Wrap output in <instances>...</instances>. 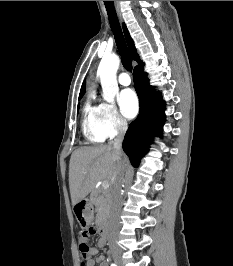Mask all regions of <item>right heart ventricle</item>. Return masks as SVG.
<instances>
[{"label":"right heart ventricle","instance_id":"1","mask_svg":"<svg viewBox=\"0 0 233 266\" xmlns=\"http://www.w3.org/2000/svg\"><path fill=\"white\" fill-rule=\"evenodd\" d=\"M101 105L94 103V93H91L83 107L82 130L90 143H101L105 137L99 129Z\"/></svg>","mask_w":233,"mask_h":266}]
</instances>
